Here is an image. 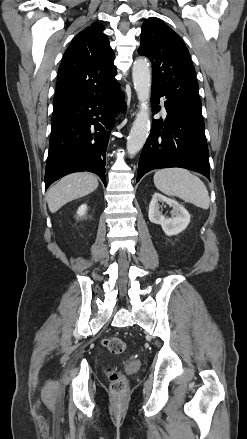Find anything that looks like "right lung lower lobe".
<instances>
[{"label": "right lung lower lobe", "instance_id": "right-lung-lower-lobe-1", "mask_svg": "<svg viewBox=\"0 0 247 439\" xmlns=\"http://www.w3.org/2000/svg\"><path fill=\"white\" fill-rule=\"evenodd\" d=\"M118 86L117 82L102 94L53 112L45 189L59 178L81 171L96 173L106 185V150L113 116L119 109Z\"/></svg>", "mask_w": 247, "mask_h": 439}]
</instances>
